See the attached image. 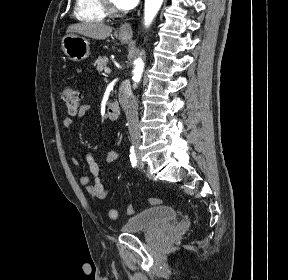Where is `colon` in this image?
Returning <instances> with one entry per match:
<instances>
[{
  "mask_svg": "<svg viewBox=\"0 0 288 280\" xmlns=\"http://www.w3.org/2000/svg\"><path fill=\"white\" fill-rule=\"evenodd\" d=\"M61 99L64 104V106L68 109V111L72 114L77 113L80 105V95L78 91L72 87V86H67L64 88L61 94ZM162 200L158 197H152L146 201L147 205H159L161 204ZM137 207L134 204H130L127 207V213L132 215L136 212ZM109 217L112 220L117 219L118 217V212L116 209H110L109 210Z\"/></svg>",
  "mask_w": 288,
  "mask_h": 280,
  "instance_id": "colon-1",
  "label": "colon"
}]
</instances>
